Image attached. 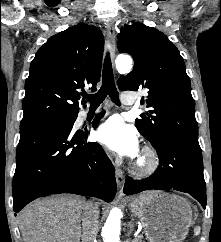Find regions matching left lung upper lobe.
<instances>
[{
    "label": "left lung upper lobe",
    "mask_w": 221,
    "mask_h": 242,
    "mask_svg": "<svg viewBox=\"0 0 221 242\" xmlns=\"http://www.w3.org/2000/svg\"><path fill=\"white\" fill-rule=\"evenodd\" d=\"M118 48L134 59V68L118 80L121 90L147 88L142 100L150 110L136 119L138 131L153 145L170 133L198 137L195 102L185 64L175 45L142 23L121 28Z\"/></svg>",
    "instance_id": "5c2ea615"
}]
</instances>
